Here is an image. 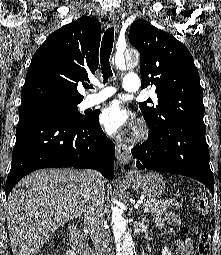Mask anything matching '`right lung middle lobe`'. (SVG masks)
Wrapping results in <instances>:
<instances>
[{
    "instance_id": "obj_1",
    "label": "right lung middle lobe",
    "mask_w": 221,
    "mask_h": 255,
    "mask_svg": "<svg viewBox=\"0 0 221 255\" xmlns=\"http://www.w3.org/2000/svg\"><path fill=\"white\" fill-rule=\"evenodd\" d=\"M80 102L76 103H45L35 106H31L25 109L20 110L22 112H51L61 115L70 122L78 123L87 118V116L81 115L77 111V105Z\"/></svg>"
}]
</instances>
